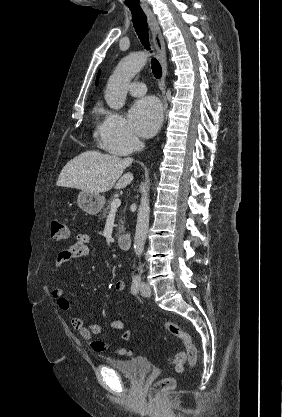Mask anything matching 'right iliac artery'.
<instances>
[{
	"mask_svg": "<svg viewBox=\"0 0 282 417\" xmlns=\"http://www.w3.org/2000/svg\"><path fill=\"white\" fill-rule=\"evenodd\" d=\"M139 287H140V280L134 279L131 285V293L133 295H136L139 292Z\"/></svg>",
	"mask_w": 282,
	"mask_h": 417,
	"instance_id": "82829eb1",
	"label": "right iliac artery"
}]
</instances>
